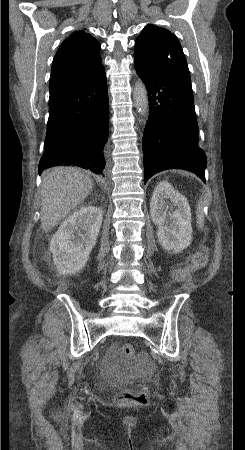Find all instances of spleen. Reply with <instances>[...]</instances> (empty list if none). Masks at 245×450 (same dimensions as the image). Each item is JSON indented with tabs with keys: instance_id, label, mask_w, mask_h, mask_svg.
Listing matches in <instances>:
<instances>
[{
	"instance_id": "obj_1",
	"label": "spleen",
	"mask_w": 245,
	"mask_h": 450,
	"mask_svg": "<svg viewBox=\"0 0 245 450\" xmlns=\"http://www.w3.org/2000/svg\"><path fill=\"white\" fill-rule=\"evenodd\" d=\"M202 208H203L202 203L198 204V207H197V223L199 224V226L201 228H202L203 222H204V216H203Z\"/></svg>"
}]
</instances>
